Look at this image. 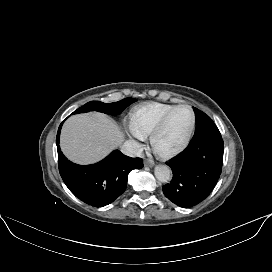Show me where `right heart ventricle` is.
<instances>
[{
  "label": "right heart ventricle",
  "mask_w": 272,
  "mask_h": 272,
  "mask_svg": "<svg viewBox=\"0 0 272 272\" xmlns=\"http://www.w3.org/2000/svg\"><path fill=\"white\" fill-rule=\"evenodd\" d=\"M175 105L164 103H149L132 111L129 117V127L140 139L151 134L160 119Z\"/></svg>",
  "instance_id": "e07e8e85"
}]
</instances>
